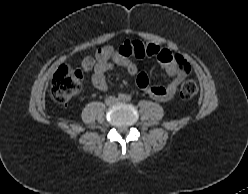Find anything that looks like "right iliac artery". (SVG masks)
<instances>
[{"label": "right iliac artery", "instance_id": "right-iliac-artery-1", "mask_svg": "<svg viewBox=\"0 0 248 194\" xmlns=\"http://www.w3.org/2000/svg\"><path fill=\"white\" fill-rule=\"evenodd\" d=\"M125 99V95L124 94H122V93H120V94H118V100H124Z\"/></svg>", "mask_w": 248, "mask_h": 194}]
</instances>
